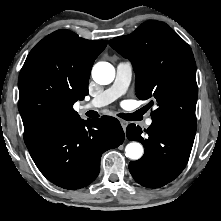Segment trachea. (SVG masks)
Here are the masks:
<instances>
[{
    "instance_id": "obj_1",
    "label": "trachea",
    "mask_w": 221,
    "mask_h": 221,
    "mask_svg": "<svg viewBox=\"0 0 221 221\" xmlns=\"http://www.w3.org/2000/svg\"><path fill=\"white\" fill-rule=\"evenodd\" d=\"M117 116L128 121L132 120V115L130 114L119 113Z\"/></svg>"
}]
</instances>
